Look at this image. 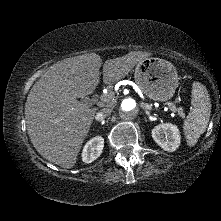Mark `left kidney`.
<instances>
[{
  "label": "left kidney",
  "instance_id": "5707ae66",
  "mask_svg": "<svg viewBox=\"0 0 221 221\" xmlns=\"http://www.w3.org/2000/svg\"><path fill=\"white\" fill-rule=\"evenodd\" d=\"M152 138L165 151L173 152L180 145V132L176 125L172 123H162L152 130Z\"/></svg>",
  "mask_w": 221,
  "mask_h": 221
}]
</instances>
